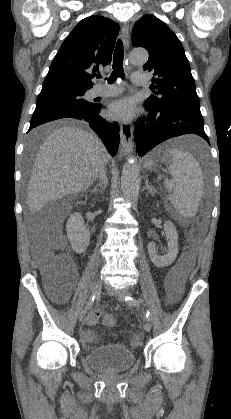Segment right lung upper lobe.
<instances>
[{
  "label": "right lung upper lobe",
  "instance_id": "right-lung-upper-lobe-1",
  "mask_svg": "<svg viewBox=\"0 0 231 419\" xmlns=\"http://www.w3.org/2000/svg\"><path fill=\"white\" fill-rule=\"evenodd\" d=\"M118 31V24L102 16H90L80 21L62 43L43 87L92 88L93 76L111 62Z\"/></svg>",
  "mask_w": 231,
  "mask_h": 419
}]
</instances>
